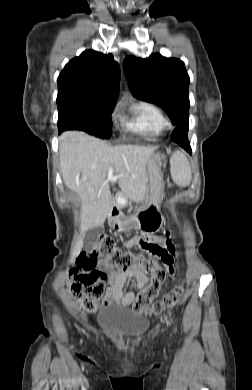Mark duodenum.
Returning <instances> with one entry per match:
<instances>
[{"label":"duodenum","instance_id":"1","mask_svg":"<svg viewBox=\"0 0 252 390\" xmlns=\"http://www.w3.org/2000/svg\"><path fill=\"white\" fill-rule=\"evenodd\" d=\"M119 217V212L116 208H113L111 211H110V214H109V220H110V223L111 224H115L116 220L118 219Z\"/></svg>","mask_w":252,"mask_h":390}]
</instances>
